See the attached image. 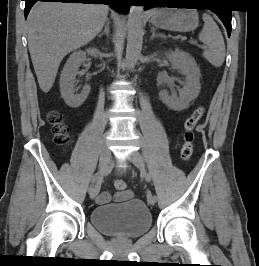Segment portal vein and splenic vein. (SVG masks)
<instances>
[{"label":"portal vein and splenic vein","instance_id":"portal-vein-and-splenic-vein-1","mask_svg":"<svg viewBox=\"0 0 259 266\" xmlns=\"http://www.w3.org/2000/svg\"><path fill=\"white\" fill-rule=\"evenodd\" d=\"M199 47L202 48V49H205V48H206L205 45H201V46H199Z\"/></svg>","mask_w":259,"mask_h":266}]
</instances>
